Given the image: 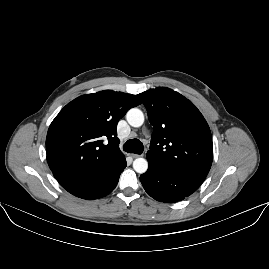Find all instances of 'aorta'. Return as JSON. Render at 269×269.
Returning <instances> with one entry per match:
<instances>
[{"instance_id":"762f6f07","label":"aorta","mask_w":269,"mask_h":269,"mask_svg":"<svg viewBox=\"0 0 269 269\" xmlns=\"http://www.w3.org/2000/svg\"><path fill=\"white\" fill-rule=\"evenodd\" d=\"M127 121L130 126L138 128L144 123V114L141 110L133 108L127 112ZM133 168L138 173H145L148 169V162L145 158H136L133 162Z\"/></svg>"}]
</instances>
